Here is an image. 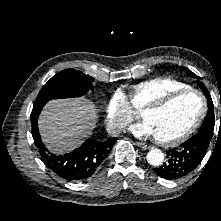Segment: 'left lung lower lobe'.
<instances>
[{
	"instance_id": "left-lung-lower-lobe-1",
	"label": "left lung lower lobe",
	"mask_w": 221,
	"mask_h": 221,
	"mask_svg": "<svg viewBox=\"0 0 221 221\" xmlns=\"http://www.w3.org/2000/svg\"><path fill=\"white\" fill-rule=\"evenodd\" d=\"M208 146V137L196 134L180 147L167 151L166 162L155 169V172L167 180L185 177L201 163Z\"/></svg>"
}]
</instances>
